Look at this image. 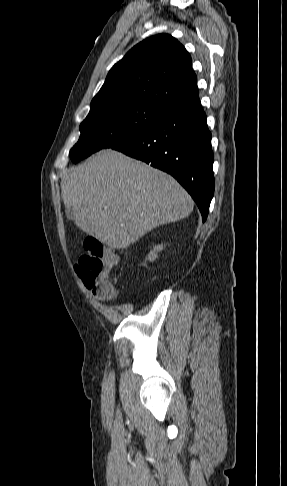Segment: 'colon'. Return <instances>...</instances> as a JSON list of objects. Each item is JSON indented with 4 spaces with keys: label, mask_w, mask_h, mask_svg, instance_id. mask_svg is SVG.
Returning a JSON list of instances; mask_svg holds the SVG:
<instances>
[{
    "label": "colon",
    "mask_w": 287,
    "mask_h": 486,
    "mask_svg": "<svg viewBox=\"0 0 287 486\" xmlns=\"http://www.w3.org/2000/svg\"><path fill=\"white\" fill-rule=\"evenodd\" d=\"M84 247L85 253L75 266L83 285L99 300L114 299L117 289L109 279V275L118 264L117 255L106 249L96 238L86 239Z\"/></svg>",
    "instance_id": "5ec220e1"
}]
</instances>
